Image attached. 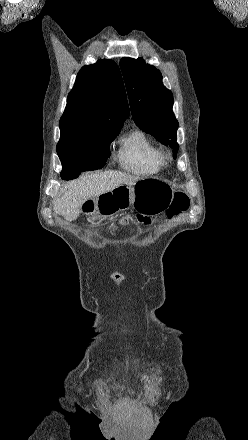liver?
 <instances>
[{"label":"liver","mask_w":248,"mask_h":440,"mask_svg":"<svg viewBox=\"0 0 248 440\" xmlns=\"http://www.w3.org/2000/svg\"><path fill=\"white\" fill-rule=\"evenodd\" d=\"M138 180V177L120 171H105L82 176L70 182L62 197L54 200V213L63 216L67 221L75 220L87 200L121 185H134Z\"/></svg>","instance_id":"obj_1"}]
</instances>
